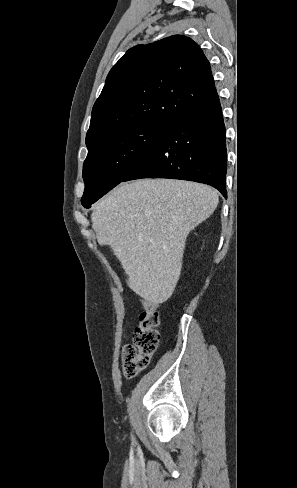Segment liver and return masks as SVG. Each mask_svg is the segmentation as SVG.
Listing matches in <instances>:
<instances>
[{
	"mask_svg": "<svg viewBox=\"0 0 297 488\" xmlns=\"http://www.w3.org/2000/svg\"><path fill=\"white\" fill-rule=\"evenodd\" d=\"M213 188L189 181L144 179L116 187L96 203L92 228L128 276V286L151 303L173 293L189 232L216 209Z\"/></svg>",
	"mask_w": 297,
	"mask_h": 488,
	"instance_id": "6515ba94",
	"label": "liver"
}]
</instances>
